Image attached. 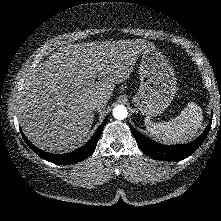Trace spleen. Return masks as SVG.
Masks as SVG:
<instances>
[{"instance_id": "1", "label": "spleen", "mask_w": 221, "mask_h": 221, "mask_svg": "<svg viewBox=\"0 0 221 221\" xmlns=\"http://www.w3.org/2000/svg\"><path fill=\"white\" fill-rule=\"evenodd\" d=\"M202 109L194 102H190L184 110L169 122H152L145 118L148 132L165 143H183L192 140L202 125Z\"/></svg>"}]
</instances>
